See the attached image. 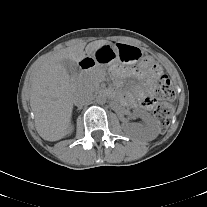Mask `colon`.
I'll use <instances>...</instances> for the list:
<instances>
[{"mask_svg":"<svg viewBox=\"0 0 207 207\" xmlns=\"http://www.w3.org/2000/svg\"><path fill=\"white\" fill-rule=\"evenodd\" d=\"M147 63L149 65L148 70L152 75L157 76L161 73L162 68L158 63L152 61H148ZM156 96L162 102L156 106L154 110V116L159 130L161 132H165L170 125L173 114L172 106L165 101H170L175 97V90L172 82L166 75H162L160 77L158 86L156 88Z\"/></svg>","mask_w":207,"mask_h":207,"instance_id":"1","label":"colon"}]
</instances>
